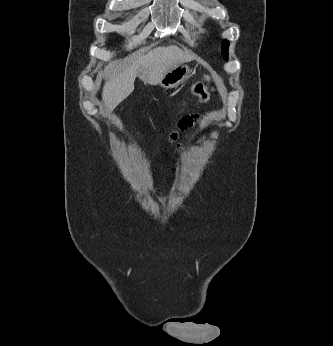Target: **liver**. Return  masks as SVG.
<instances>
[{
  "label": "liver",
  "instance_id": "6515ba94",
  "mask_svg": "<svg viewBox=\"0 0 333 346\" xmlns=\"http://www.w3.org/2000/svg\"><path fill=\"white\" fill-rule=\"evenodd\" d=\"M193 57L177 46H169L155 48L118 73H115V65L110 63L106 69L111 74L102 91V99L106 107L105 114L109 115L133 92L136 77L150 85L158 84L168 71Z\"/></svg>",
  "mask_w": 333,
  "mask_h": 346
}]
</instances>
